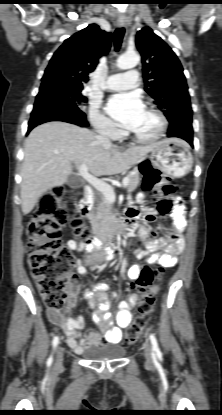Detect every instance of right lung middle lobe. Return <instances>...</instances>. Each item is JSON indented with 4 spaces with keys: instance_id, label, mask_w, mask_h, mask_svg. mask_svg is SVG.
I'll return each instance as SVG.
<instances>
[{
    "instance_id": "right-lung-middle-lobe-1",
    "label": "right lung middle lobe",
    "mask_w": 222,
    "mask_h": 415,
    "mask_svg": "<svg viewBox=\"0 0 222 415\" xmlns=\"http://www.w3.org/2000/svg\"><path fill=\"white\" fill-rule=\"evenodd\" d=\"M59 89L64 94H66L77 106L80 105V104H82V103H85L86 100H87L82 95L81 91L83 89H81V88L59 85Z\"/></svg>"
}]
</instances>
